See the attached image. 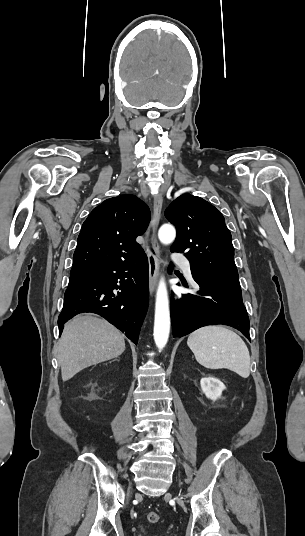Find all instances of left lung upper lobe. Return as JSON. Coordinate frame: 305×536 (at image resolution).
I'll return each instance as SVG.
<instances>
[{
	"label": "left lung upper lobe",
	"mask_w": 305,
	"mask_h": 536,
	"mask_svg": "<svg viewBox=\"0 0 305 536\" xmlns=\"http://www.w3.org/2000/svg\"><path fill=\"white\" fill-rule=\"evenodd\" d=\"M165 216L177 231L170 250L184 253L192 274L239 279L231 233L213 205L187 193L170 204Z\"/></svg>",
	"instance_id": "5c2ea615"
}]
</instances>
